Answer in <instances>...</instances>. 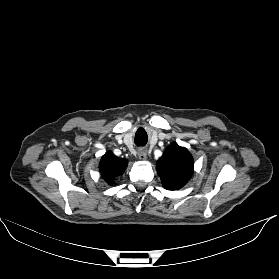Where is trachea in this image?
Listing matches in <instances>:
<instances>
[{"mask_svg":"<svg viewBox=\"0 0 279 279\" xmlns=\"http://www.w3.org/2000/svg\"><path fill=\"white\" fill-rule=\"evenodd\" d=\"M147 142V134L143 129H139L135 135V144L137 146H144Z\"/></svg>","mask_w":279,"mask_h":279,"instance_id":"trachea-1","label":"trachea"}]
</instances>
